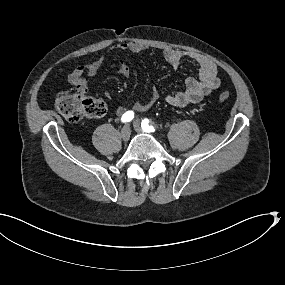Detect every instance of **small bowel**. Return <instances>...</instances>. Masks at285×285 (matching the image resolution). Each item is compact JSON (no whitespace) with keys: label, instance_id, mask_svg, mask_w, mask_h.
<instances>
[{"label":"small bowel","instance_id":"small-bowel-1","mask_svg":"<svg viewBox=\"0 0 285 285\" xmlns=\"http://www.w3.org/2000/svg\"><path fill=\"white\" fill-rule=\"evenodd\" d=\"M117 48L123 51H129L133 54H140L145 51V47L135 41L122 42L118 44ZM163 55L165 60L173 67H178L184 59H190L199 69L197 77L191 76L185 80V86L182 90H178L164 97L165 101L170 105L185 107L189 104L197 103L220 86L217 66L206 56L195 52L174 49L165 50ZM104 60L105 57L100 56L86 65L77 67L69 76L70 84L86 92L88 84L85 77L97 74ZM118 72L123 76H127L129 75V68L122 62L118 66ZM105 96L109 98L111 95L109 92H106ZM159 98V92L153 89L148 100L137 102L133 108L138 112L146 111L153 106ZM125 112H127L125 107L120 106L117 108L118 115H123Z\"/></svg>","mask_w":285,"mask_h":285}]
</instances>
